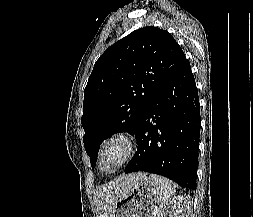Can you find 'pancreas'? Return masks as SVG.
Returning <instances> with one entry per match:
<instances>
[{"mask_svg":"<svg viewBox=\"0 0 253 217\" xmlns=\"http://www.w3.org/2000/svg\"><path fill=\"white\" fill-rule=\"evenodd\" d=\"M149 217H154L153 215H150Z\"/></svg>","mask_w":253,"mask_h":217,"instance_id":"pancreas-1","label":"pancreas"}]
</instances>
